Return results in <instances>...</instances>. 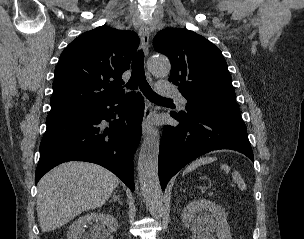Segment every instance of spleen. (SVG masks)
<instances>
[{
  "label": "spleen",
  "mask_w": 304,
  "mask_h": 239,
  "mask_svg": "<svg viewBox=\"0 0 304 239\" xmlns=\"http://www.w3.org/2000/svg\"><path fill=\"white\" fill-rule=\"evenodd\" d=\"M213 161H216L215 157H202V158H199V159L193 161L192 163H190L187 166V168L184 170L183 174H187V173L195 170L199 166L211 163ZM220 167H221L222 170H224L225 173H229L230 167L228 165L221 164ZM232 178H233L234 182L237 183V185H238V187H239L240 190H242V191L246 190V185L244 183V180L240 176L239 172H234Z\"/></svg>",
  "instance_id": "obj_1"
}]
</instances>
